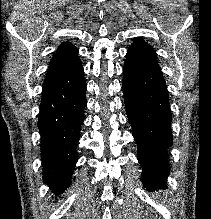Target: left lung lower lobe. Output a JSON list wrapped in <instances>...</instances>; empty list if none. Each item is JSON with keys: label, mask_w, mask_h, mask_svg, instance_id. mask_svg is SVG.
I'll return each instance as SVG.
<instances>
[{"label": "left lung lower lobe", "mask_w": 211, "mask_h": 219, "mask_svg": "<svg viewBox=\"0 0 211 219\" xmlns=\"http://www.w3.org/2000/svg\"><path fill=\"white\" fill-rule=\"evenodd\" d=\"M123 68V91L129 122L138 145L146 188L164 187L169 166L167 149L172 143V114L165 80L154 49L134 40Z\"/></svg>", "instance_id": "0a47b994"}]
</instances>
